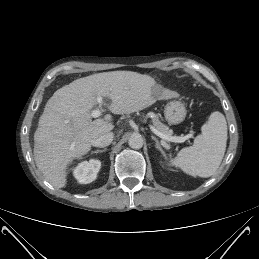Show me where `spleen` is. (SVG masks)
Segmentation results:
<instances>
[{
    "mask_svg": "<svg viewBox=\"0 0 259 259\" xmlns=\"http://www.w3.org/2000/svg\"><path fill=\"white\" fill-rule=\"evenodd\" d=\"M227 123L218 111L211 113L190 147L181 149L171 164L193 177L207 178L219 168L226 150Z\"/></svg>",
    "mask_w": 259,
    "mask_h": 259,
    "instance_id": "3e777b00",
    "label": "spleen"
}]
</instances>
